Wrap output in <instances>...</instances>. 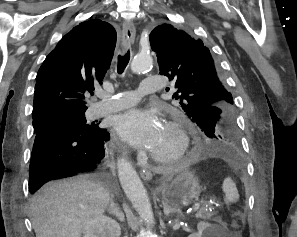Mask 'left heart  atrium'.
I'll use <instances>...</instances> for the list:
<instances>
[{
	"label": "left heart atrium",
	"mask_w": 297,
	"mask_h": 237,
	"mask_svg": "<svg viewBox=\"0 0 297 237\" xmlns=\"http://www.w3.org/2000/svg\"><path fill=\"white\" fill-rule=\"evenodd\" d=\"M117 133L134 147L151 151L161 134L163 124L149 109L133 108L115 119Z\"/></svg>",
	"instance_id": "left-heart-atrium-1"
}]
</instances>
